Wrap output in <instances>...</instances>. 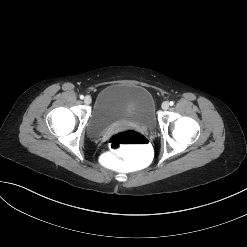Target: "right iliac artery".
Instances as JSON below:
<instances>
[{"label":"right iliac artery","mask_w":247,"mask_h":247,"mask_svg":"<svg viewBox=\"0 0 247 247\" xmlns=\"http://www.w3.org/2000/svg\"><path fill=\"white\" fill-rule=\"evenodd\" d=\"M80 99H84V96L83 95H80Z\"/></svg>","instance_id":"obj_1"}]
</instances>
